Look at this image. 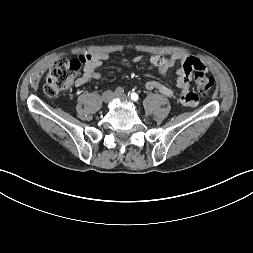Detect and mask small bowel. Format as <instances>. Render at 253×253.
I'll return each instance as SVG.
<instances>
[{
	"instance_id": "c3829d8e",
	"label": "small bowel",
	"mask_w": 253,
	"mask_h": 253,
	"mask_svg": "<svg viewBox=\"0 0 253 253\" xmlns=\"http://www.w3.org/2000/svg\"><path fill=\"white\" fill-rule=\"evenodd\" d=\"M88 59L84 68V73L75 81V85L80 87L89 82L92 79H99L101 74L97 69L108 59V55L105 53H93L88 55ZM187 58L183 54H176L170 58L162 57L159 55H153L149 61L161 75H166L169 69L174 67L177 63L180 66L177 69V81L176 85L181 90L179 101L193 111L200 108V97L194 91H190V79L192 75L191 67L187 66ZM142 60V56H135L133 62L137 63ZM145 89L148 91L157 90L159 93L166 97H174V91L167 85L157 81L148 80L145 83Z\"/></svg>"
}]
</instances>
